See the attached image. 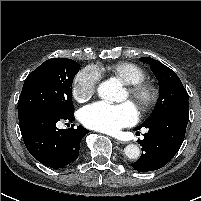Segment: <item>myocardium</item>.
Segmentation results:
<instances>
[{
	"label": "myocardium",
	"instance_id": "myocardium-1",
	"mask_svg": "<svg viewBox=\"0 0 201 201\" xmlns=\"http://www.w3.org/2000/svg\"><path fill=\"white\" fill-rule=\"evenodd\" d=\"M127 92L129 98L142 113L150 110L157 99V91L155 87L144 80L127 84Z\"/></svg>",
	"mask_w": 201,
	"mask_h": 201
}]
</instances>
